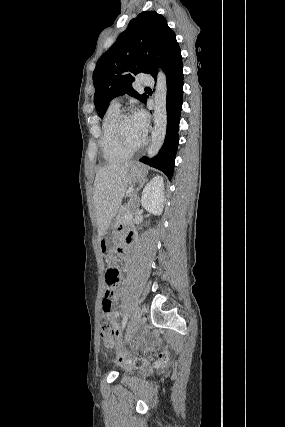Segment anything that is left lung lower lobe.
Listing matches in <instances>:
<instances>
[{"label":"left lung lower lobe","instance_id":"obj_1","mask_svg":"<svg viewBox=\"0 0 285 427\" xmlns=\"http://www.w3.org/2000/svg\"><path fill=\"white\" fill-rule=\"evenodd\" d=\"M167 76V129L165 141L159 153L148 159L142 157L141 162L164 172L171 179L174 171V160L179 144V122L183 103V65L181 52L177 54L165 71Z\"/></svg>","mask_w":285,"mask_h":427}]
</instances>
